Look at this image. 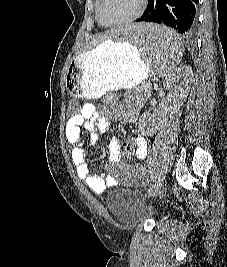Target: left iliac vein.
<instances>
[{
    "label": "left iliac vein",
    "mask_w": 227,
    "mask_h": 267,
    "mask_svg": "<svg viewBox=\"0 0 227 267\" xmlns=\"http://www.w3.org/2000/svg\"><path fill=\"white\" fill-rule=\"evenodd\" d=\"M162 179H158L156 180L151 187L149 188V190L147 191V197L150 199H153L157 193L160 191L161 187H162Z\"/></svg>",
    "instance_id": "4c4485c4"
}]
</instances>
